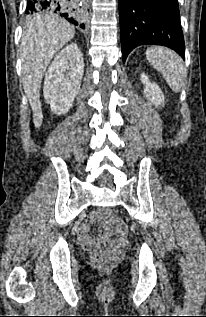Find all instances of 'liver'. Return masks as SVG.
Segmentation results:
<instances>
[{
	"label": "liver",
	"instance_id": "6515ba94",
	"mask_svg": "<svg viewBox=\"0 0 206 317\" xmlns=\"http://www.w3.org/2000/svg\"><path fill=\"white\" fill-rule=\"evenodd\" d=\"M75 35V28L52 13L30 18L23 28L20 54L22 81L33 112L36 128L42 125L40 88L44 73L53 56Z\"/></svg>",
	"mask_w": 206,
	"mask_h": 317
}]
</instances>
